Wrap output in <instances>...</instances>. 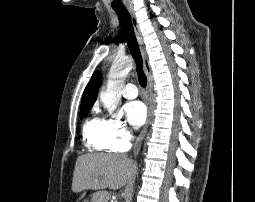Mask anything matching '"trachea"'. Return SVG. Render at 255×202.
<instances>
[{
    "label": "trachea",
    "instance_id": "obj_1",
    "mask_svg": "<svg viewBox=\"0 0 255 202\" xmlns=\"http://www.w3.org/2000/svg\"><path fill=\"white\" fill-rule=\"evenodd\" d=\"M114 10L118 16L121 30L127 42L130 53L136 62L139 83L143 88H145L147 85V78L143 72V61L135 36V32L132 26L131 16L125 8H119Z\"/></svg>",
    "mask_w": 255,
    "mask_h": 202
}]
</instances>
